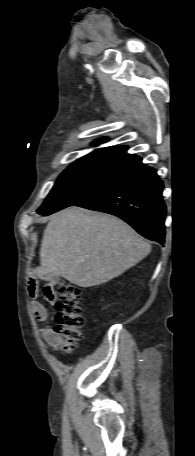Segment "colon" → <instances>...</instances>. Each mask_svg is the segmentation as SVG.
<instances>
[{
	"label": "colon",
	"mask_w": 195,
	"mask_h": 456,
	"mask_svg": "<svg viewBox=\"0 0 195 456\" xmlns=\"http://www.w3.org/2000/svg\"><path fill=\"white\" fill-rule=\"evenodd\" d=\"M55 307L57 315L56 326L53 329L61 337L59 348L65 353H70L82 338L84 318L80 289L70 282L62 281L58 287Z\"/></svg>",
	"instance_id": "colon-1"
}]
</instances>
